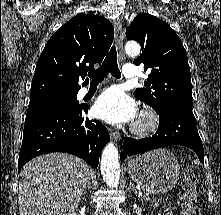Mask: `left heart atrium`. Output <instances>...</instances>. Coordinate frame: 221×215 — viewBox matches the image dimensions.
I'll return each instance as SVG.
<instances>
[{
	"mask_svg": "<svg viewBox=\"0 0 221 215\" xmlns=\"http://www.w3.org/2000/svg\"><path fill=\"white\" fill-rule=\"evenodd\" d=\"M95 117L111 124L132 122L136 117L134 101L117 86L102 92L93 106Z\"/></svg>",
	"mask_w": 221,
	"mask_h": 215,
	"instance_id": "39dd6f15",
	"label": "left heart atrium"
}]
</instances>
